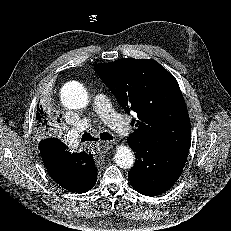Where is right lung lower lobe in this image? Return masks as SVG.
Masks as SVG:
<instances>
[{
  "mask_svg": "<svg viewBox=\"0 0 231 231\" xmlns=\"http://www.w3.org/2000/svg\"><path fill=\"white\" fill-rule=\"evenodd\" d=\"M40 154L44 164L54 165L47 169L51 178L68 191L84 193L90 190L97 181V168L91 154L79 153L81 159L76 162L74 182L65 183L54 169L61 161L70 157L66 145L57 138L44 139L39 144Z\"/></svg>",
  "mask_w": 231,
  "mask_h": 231,
  "instance_id": "98d812e1",
  "label": "right lung lower lobe"
}]
</instances>
